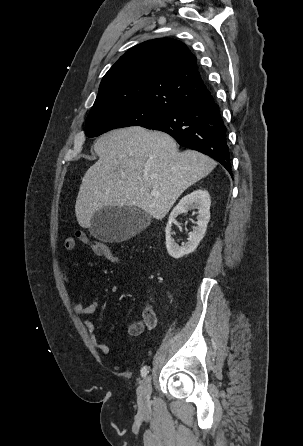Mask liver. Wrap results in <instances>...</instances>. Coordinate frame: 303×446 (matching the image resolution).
<instances>
[{"mask_svg":"<svg viewBox=\"0 0 303 446\" xmlns=\"http://www.w3.org/2000/svg\"><path fill=\"white\" fill-rule=\"evenodd\" d=\"M94 150L99 160L85 173L75 204L83 228L105 207H138L162 219L184 190L217 165L197 151L178 152L172 137L140 126L103 134Z\"/></svg>","mask_w":303,"mask_h":446,"instance_id":"1","label":"liver"}]
</instances>
